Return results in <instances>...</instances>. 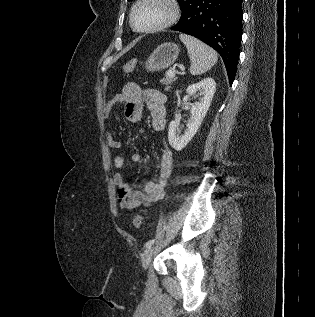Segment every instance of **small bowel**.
I'll use <instances>...</instances> for the list:
<instances>
[{"label":"small bowel","instance_id":"small-bowel-1","mask_svg":"<svg viewBox=\"0 0 315 317\" xmlns=\"http://www.w3.org/2000/svg\"><path fill=\"white\" fill-rule=\"evenodd\" d=\"M166 98L164 94L153 89H144L137 83H128L121 93L111 99L104 107V116L107 118L115 108L122 104L124 114L128 121L138 123L142 117L144 105L150 112L151 126L156 132H163L166 127ZM106 142L112 149H120L122 142L116 140L111 132L107 133ZM139 162L141 155L133 153L128 158L122 154L115 156L116 168H123L127 161ZM173 168L172 152L164 147L160 159L159 173L155 181H148L141 185H135L125 180L122 173L114 175V183L117 186L119 207L124 211H135L144 206L162 199L165 195L168 179Z\"/></svg>","mask_w":315,"mask_h":317}]
</instances>
